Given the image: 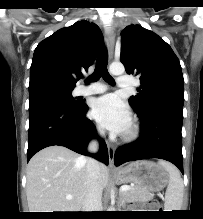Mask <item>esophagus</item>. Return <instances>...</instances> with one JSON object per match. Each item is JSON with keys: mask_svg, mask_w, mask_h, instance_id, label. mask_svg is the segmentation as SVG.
Segmentation results:
<instances>
[{"mask_svg": "<svg viewBox=\"0 0 203 219\" xmlns=\"http://www.w3.org/2000/svg\"><path fill=\"white\" fill-rule=\"evenodd\" d=\"M105 42H106L109 60H112L114 54L115 35L110 27L105 28ZM107 148H108L109 166L114 167L115 148L109 142H107Z\"/></svg>", "mask_w": 203, "mask_h": 219, "instance_id": "obj_1", "label": "esophagus"}]
</instances>
